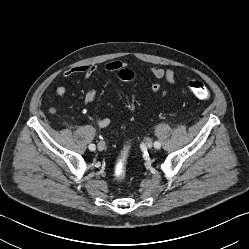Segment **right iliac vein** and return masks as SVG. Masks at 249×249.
I'll use <instances>...</instances> for the list:
<instances>
[{"label":"right iliac vein","instance_id":"right-iliac-vein-1","mask_svg":"<svg viewBox=\"0 0 249 249\" xmlns=\"http://www.w3.org/2000/svg\"><path fill=\"white\" fill-rule=\"evenodd\" d=\"M106 148V145L104 142L98 143V150L103 151Z\"/></svg>","mask_w":249,"mask_h":249}]
</instances>
